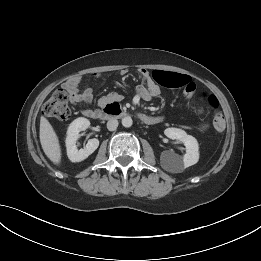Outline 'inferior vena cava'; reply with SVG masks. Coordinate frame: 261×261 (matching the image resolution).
Returning <instances> with one entry per match:
<instances>
[{"instance_id":"602c4592","label":"inferior vena cava","mask_w":261,"mask_h":261,"mask_svg":"<svg viewBox=\"0 0 261 261\" xmlns=\"http://www.w3.org/2000/svg\"><path fill=\"white\" fill-rule=\"evenodd\" d=\"M117 127H118V121L116 119H110L107 122V129L109 131H114V130H116Z\"/></svg>"}]
</instances>
